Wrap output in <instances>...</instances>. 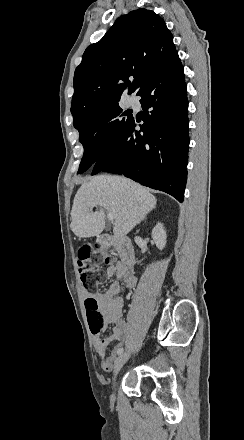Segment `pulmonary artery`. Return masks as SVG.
Listing matches in <instances>:
<instances>
[{
  "mask_svg": "<svg viewBox=\"0 0 244 440\" xmlns=\"http://www.w3.org/2000/svg\"><path fill=\"white\" fill-rule=\"evenodd\" d=\"M129 103L131 106L136 107L138 105V100L135 97H130Z\"/></svg>",
  "mask_w": 244,
  "mask_h": 440,
  "instance_id": "pulmonary-artery-1",
  "label": "pulmonary artery"
}]
</instances>
